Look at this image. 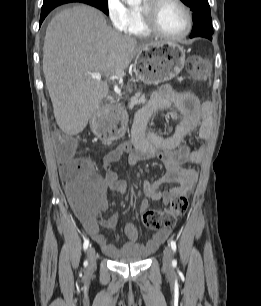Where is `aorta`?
<instances>
[{"instance_id": "aorta-1", "label": "aorta", "mask_w": 261, "mask_h": 306, "mask_svg": "<svg viewBox=\"0 0 261 306\" xmlns=\"http://www.w3.org/2000/svg\"><path fill=\"white\" fill-rule=\"evenodd\" d=\"M141 0H125V2H127V4L129 5H135L140 3Z\"/></svg>"}]
</instances>
